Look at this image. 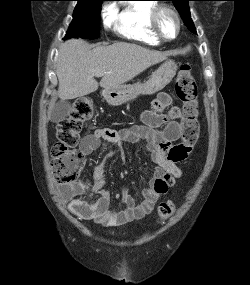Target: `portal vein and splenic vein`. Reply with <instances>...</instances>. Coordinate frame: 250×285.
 Here are the masks:
<instances>
[{
  "label": "portal vein and splenic vein",
  "mask_w": 250,
  "mask_h": 285,
  "mask_svg": "<svg viewBox=\"0 0 250 285\" xmlns=\"http://www.w3.org/2000/svg\"><path fill=\"white\" fill-rule=\"evenodd\" d=\"M104 74V72H98L97 74H96V76H102Z\"/></svg>",
  "instance_id": "1"
}]
</instances>
